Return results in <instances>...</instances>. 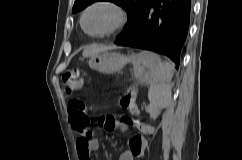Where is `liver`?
Wrapping results in <instances>:
<instances>
[{
	"label": "liver",
	"instance_id": "liver-1",
	"mask_svg": "<svg viewBox=\"0 0 242 160\" xmlns=\"http://www.w3.org/2000/svg\"><path fill=\"white\" fill-rule=\"evenodd\" d=\"M116 48H117L116 45L107 46V45L94 44V45H91V46L87 47L86 49H84L82 55H83V57L94 58L102 52H106L108 50H113Z\"/></svg>",
	"mask_w": 242,
	"mask_h": 160
}]
</instances>
